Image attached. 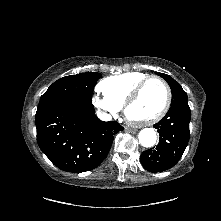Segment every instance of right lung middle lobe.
Segmentation results:
<instances>
[{"mask_svg":"<svg viewBox=\"0 0 221 221\" xmlns=\"http://www.w3.org/2000/svg\"><path fill=\"white\" fill-rule=\"evenodd\" d=\"M101 77L100 73L87 72L58 79L41 96L37 111L62 100L92 103L94 86Z\"/></svg>","mask_w":221,"mask_h":221,"instance_id":"1","label":"right lung middle lobe"}]
</instances>
